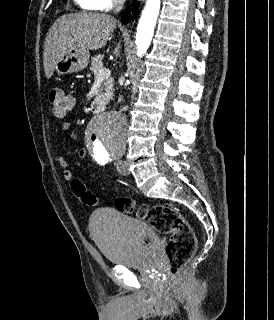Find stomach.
<instances>
[{"mask_svg":"<svg viewBox=\"0 0 274 320\" xmlns=\"http://www.w3.org/2000/svg\"><path fill=\"white\" fill-rule=\"evenodd\" d=\"M90 54L88 50H69L61 56L55 64V70L59 76L73 74L85 70L89 64Z\"/></svg>","mask_w":274,"mask_h":320,"instance_id":"0dacf381","label":"stomach"}]
</instances>
